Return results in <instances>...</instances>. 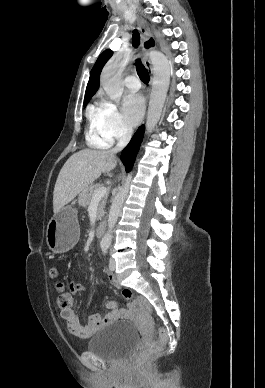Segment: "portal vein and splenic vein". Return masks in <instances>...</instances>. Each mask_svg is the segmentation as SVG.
<instances>
[{
  "label": "portal vein and splenic vein",
  "mask_w": 265,
  "mask_h": 388,
  "mask_svg": "<svg viewBox=\"0 0 265 388\" xmlns=\"http://www.w3.org/2000/svg\"><path fill=\"white\" fill-rule=\"evenodd\" d=\"M105 194H107V188H97V190H94L93 198L92 200H95V198H104Z\"/></svg>",
  "instance_id": "portal-vein-and-splenic-vein-1"
}]
</instances>
